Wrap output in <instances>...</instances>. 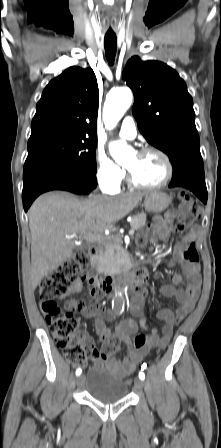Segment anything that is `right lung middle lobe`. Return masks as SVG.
<instances>
[{
	"instance_id": "right-lung-middle-lobe-1",
	"label": "right lung middle lobe",
	"mask_w": 221,
	"mask_h": 448,
	"mask_svg": "<svg viewBox=\"0 0 221 448\" xmlns=\"http://www.w3.org/2000/svg\"><path fill=\"white\" fill-rule=\"evenodd\" d=\"M96 146L97 138L78 137L52 141L28 148L25 163L53 161L95 175Z\"/></svg>"
}]
</instances>
